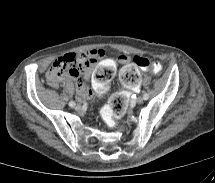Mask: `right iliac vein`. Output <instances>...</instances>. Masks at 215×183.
<instances>
[{
	"label": "right iliac vein",
	"instance_id": "right-iliac-vein-1",
	"mask_svg": "<svg viewBox=\"0 0 215 183\" xmlns=\"http://www.w3.org/2000/svg\"><path fill=\"white\" fill-rule=\"evenodd\" d=\"M81 109V106L79 105V104H77L76 106H75V110H80Z\"/></svg>",
	"mask_w": 215,
	"mask_h": 183
}]
</instances>
